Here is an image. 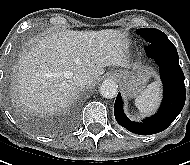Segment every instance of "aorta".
<instances>
[{"mask_svg":"<svg viewBox=\"0 0 190 165\" xmlns=\"http://www.w3.org/2000/svg\"><path fill=\"white\" fill-rule=\"evenodd\" d=\"M118 93V85L114 80L107 79L100 86V94L105 98H114Z\"/></svg>","mask_w":190,"mask_h":165,"instance_id":"762f6f07","label":"aorta"}]
</instances>
